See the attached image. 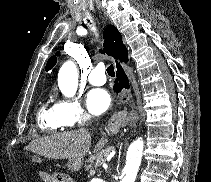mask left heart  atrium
<instances>
[{"mask_svg":"<svg viewBox=\"0 0 211 182\" xmlns=\"http://www.w3.org/2000/svg\"><path fill=\"white\" fill-rule=\"evenodd\" d=\"M109 94L102 89L91 90L86 97L88 110L93 115L102 114L110 105Z\"/></svg>","mask_w":211,"mask_h":182,"instance_id":"left-heart-atrium-1","label":"left heart atrium"}]
</instances>
